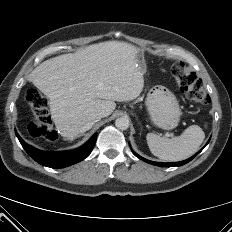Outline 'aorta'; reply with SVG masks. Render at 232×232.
<instances>
[{
	"instance_id": "762f6f07",
	"label": "aorta",
	"mask_w": 232,
	"mask_h": 232,
	"mask_svg": "<svg viewBox=\"0 0 232 232\" xmlns=\"http://www.w3.org/2000/svg\"><path fill=\"white\" fill-rule=\"evenodd\" d=\"M115 126L120 130H126L129 128V119L126 117H120L115 120Z\"/></svg>"
}]
</instances>
